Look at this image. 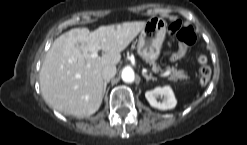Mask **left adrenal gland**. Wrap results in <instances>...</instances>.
Here are the masks:
<instances>
[{
  "label": "left adrenal gland",
  "instance_id": "left-adrenal-gland-1",
  "mask_svg": "<svg viewBox=\"0 0 247 145\" xmlns=\"http://www.w3.org/2000/svg\"><path fill=\"white\" fill-rule=\"evenodd\" d=\"M142 75L144 76L146 81H149V80L155 81L156 80V78L152 77L151 75H147L145 72H142Z\"/></svg>",
  "mask_w": 247,
  "mask_h": 145
}]
</instances>
